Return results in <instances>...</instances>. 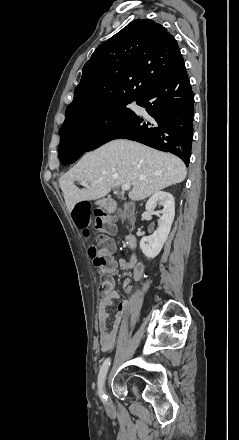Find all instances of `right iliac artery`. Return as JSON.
<instances>
[{
	"label": "right iliac artery",
	"mask_w": 239,
	"mask_h": 440,
	"mask_svg": "<svg viewBox=\"0 0 239 440\" xmlns=\"http://www.w3.org/2000/svg\"><path fill=\"white\" fill-rule=\"evenodd\" d=\"M110 365V358H107L100 369L99 375H98V392H99V396L101 398V400L105 403L107 400V396L104 393V382H105V377L108 371V367Z\"/></svg>",
	"instance_id": "obj_1"
}]
</instances>
